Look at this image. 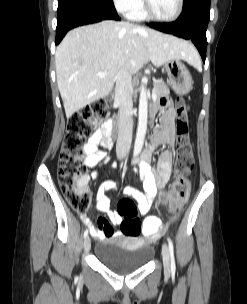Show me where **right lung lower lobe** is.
<instances>
[{
    "label": "right lung lower lobe",
    "mask_w": 247,
    "mask_h": 304,
    "mask_svg": "<svg viewBox=\"0 0 247 304\" xmlns=\"http://www.w3.org/2000/svg\"><path fill=\"white\" fill-rule=\"evenodd\" d=\"M109 19L120 20L112 0H59L55 44L72 28Z\"/></svg>",
    "instance_id": "right-lung-lower-lobe-1"
}]
</instances>
